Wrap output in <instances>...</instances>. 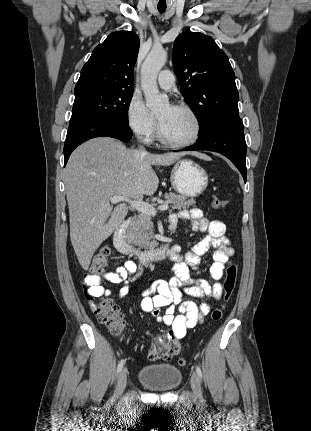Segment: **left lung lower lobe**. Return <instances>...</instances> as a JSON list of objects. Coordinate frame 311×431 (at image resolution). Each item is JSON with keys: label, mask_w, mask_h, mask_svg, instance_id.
I'll return each instance as SVG.
<instances>
[{"label": "left lung lower lobe", "mask_w": 311, "mask_h": 431, "mask_svg": "<svg viewBox=\"0 0 311 431\" xmlns=\"http://www.w3.org/2000/svg\"><path fill=\"white\" fill-rule=\"evenodd\" d=\"M197 150L215 151L226 156L238 168L246 182V142L241 119L223 122L206 136L198 138L197 143L181 151Z\"/></svg>", "instance_id": "1"}]
</instances>
